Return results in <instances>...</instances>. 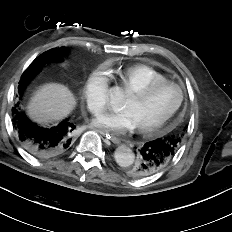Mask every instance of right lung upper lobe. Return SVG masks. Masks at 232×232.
<instances>
[{
    "instance_id": "obj_1",
    "label": "right lung upper lobe",
    "mask_w": 232,
    "mask_h": 232,
    "mask_svg": "<svg viewBox=\"0 0 232 232\" xmlns=\"http://www.w3.org/2000/svg\"><path fill=\"white\" fill-rule=\"evenodd\" d=\"M47 52H52L54 54V56H56L58 58V61H61L62 57L68 53V51H64L63 49L60 50L58 48H55L53 50H49Z\"/></svg>"
}]
</instances>
